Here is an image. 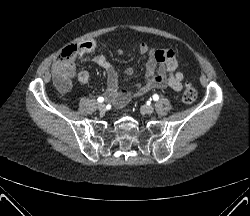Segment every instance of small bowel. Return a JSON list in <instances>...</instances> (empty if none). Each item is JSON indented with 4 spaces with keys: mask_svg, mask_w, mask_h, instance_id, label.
<instances>
[{
    "mask_svg": "<svg viewBox=\"0 0 250 216\" xmlns=\"http://www.w3.org/2000/svg\"><path fill=\"white\" fill-rule=\"evenodd\" d=\"M95 48V41H85L77 45V55L82 57L93 52ZM138 48L141 54H147L149 58L146 64L145 81L133 93L120 90L117 72L104 56L96 55L93 58V61L103 70L107 82L106 96L117 107L127 104L132 96H141L154 88L165 89L169 87L174 91H180L183 88L184 74L182 67L172 50L155 49L145 42H141ZM125 73L132 75L133 71L128 68ZM89 78L90 74L85 70L78 73V81L82 84L87 83ZM57 87L62 93H67L71 88V84L67 79L58 77Z\"/></svg>",
    "mask_w": 250,
    "mask_h": 216,
    "instance_id": "1",
    "label": "small bowel"
}]
</instances>
